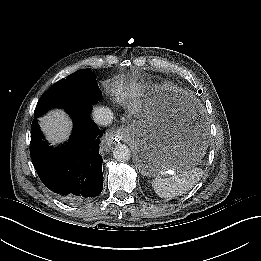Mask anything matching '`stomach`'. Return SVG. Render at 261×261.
<instances>
[{
  "label": "stomach",
  "mask_w": 261,
  "mask_h": 261,
  "mask_svg": "<svg viewBox=\"0 0 261 261\" xmlns=\"http://www.w3.org/2000/svg\"><path fill=\"white\" fill-rule=\"evenodd\" d=\"M190 102L187 93L174 87L154 89L145 96L138 120L127 131L143 175L155 177L168 170H190L204 156V140L185 124Z\"/></svg>",
  "instance_id": "0dacf381"
}]
</instances>
